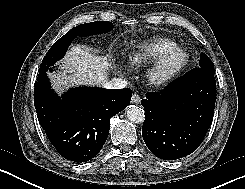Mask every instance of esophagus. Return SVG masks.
<instances>
[{
    "mask_svg": "<svg viewBox=\"0 0 245 189\" xmlns=\"http://www.w3.org/2000/svg\"><path fill=\"white\" fill-rule=\"evenodd\" d=\"M140 101H141V98H140L139 94L134 93V94L132 95L131 102H132L133 104H138V103H140Z\"/></svg>",
    "mask_w": 245,
    "mask_h": 189,
    "instance_id": "1",
    "label": "esophagus"
}]
</instances>
